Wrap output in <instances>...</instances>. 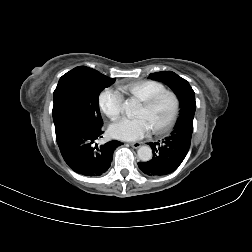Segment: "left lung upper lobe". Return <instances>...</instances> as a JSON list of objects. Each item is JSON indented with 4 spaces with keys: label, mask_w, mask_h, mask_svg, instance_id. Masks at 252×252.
<instances>
[{
    "label": "left lung upper lobe",
    "mask_w": 252,
    "mask_h": 252,
    "mask_svg": "<svg viewBox=\"0 0 252 252\" xmlns=\"http://www.w3.org/2000/svg\"><path fill=\"white\" fill-rule=\"evenodd\" d=\"M150 78L165 83L177 95L180 101V116L177 123L183 119H190L193 121L196 102L195 93L189 83L171 71L151 73Z\"/></svg>",
    "instance_id": "1"
}]
</instances>
